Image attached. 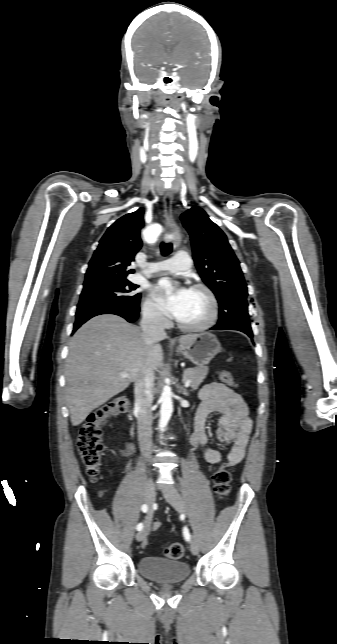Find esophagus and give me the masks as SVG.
<instances>
[{
  "instance_id": "obj_1",
  "label": "esophagus",
  "mask_w": 337,
  "mask_h": 644,
  "mask_svg": "<svg viewBox=\"0 0 337 644\" xmlns=\"http://www.w3.org/2000/svg\"><path fill=\"white\" fill-rule=\"evenodd\" d=\"M172 204H173V194L171 190H168L165 193L163 198V211H164L165 223L174 235L173 244L174 246H177L179 243V230L173 219Z\"/></svg>"
}]
</instances>
